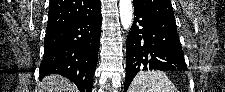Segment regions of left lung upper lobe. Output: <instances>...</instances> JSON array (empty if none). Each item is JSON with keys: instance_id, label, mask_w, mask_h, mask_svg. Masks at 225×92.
Wrapping results in <instances>:
<instances>
[{"instance_id": "5c2ea615", "label": "left lung upper lobe", "mask_w": 225, "mask_h": 92, "mask_svg": "<svg viewBox=\"0 0 225 92\" xmlns=\"http://www.w3.org/2000/svg\"><path fill=\"white\" fill-rule=\"evenodd\" d=\"M133 5L150 14L175 20L170 0H133Z\"/></svg>"}]
</instances>
